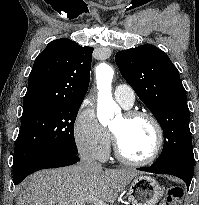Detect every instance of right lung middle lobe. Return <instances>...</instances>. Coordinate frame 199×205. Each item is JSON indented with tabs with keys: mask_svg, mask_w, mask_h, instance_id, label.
Returning a JSON list of instances; mask_svg holds the SVG:
<instances>
[{
	"mask_svg": "<svg viewBox=\"0 0 199 205\" xmlns=\"http://www.w3.org/2000/svg\"><path fill=\"white\" fill-rule=\"evenodd\" d=\"M80 106L81 103H57L23 111L13 166L46 152L76 155L74 123Z\"/></svg>",
	"mask_w": 199,
	"mask_h": 205,
	"instance_id": "dd1d6c3e",
	"label": "right lung middle lobe"
}]
</instances>
